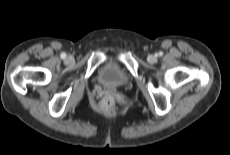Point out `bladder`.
Segmentation results:
<instances>
[{
    "instance_id": "bladder-1",
    "label": "bladder",
    "mask_w": 230,
    "mask_h": 155,
    "mask_svg": "<svg viewBox=\"0 0 230 155\" xmlns=\"http://www.w3.org/2000/svg\"><path fill=\"white\" fill-rule=\"evenodd\" d=\"M98 78L101 84L121 88L130 85L129 73L116 61L108 60L99 69Z\"/></svg>"
}]
</instances>
